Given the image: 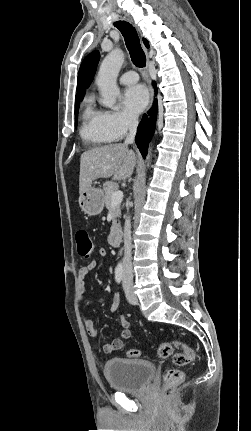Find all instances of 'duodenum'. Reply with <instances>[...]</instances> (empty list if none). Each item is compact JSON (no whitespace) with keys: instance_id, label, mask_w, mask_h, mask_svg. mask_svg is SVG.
Wrapping results in <instances>:
<instances>
[{"instance_id":"410a0bca","label":"duodenum","mask_w":251,"mask_h":431,"mask_svg":"<svg viewBox=\"0 0 251 431\" xmlns=\"http://www.w3.org/2000/svg\"><path fill=\"white\" fill-rule=\"evenodd\" d=\"M121 238H122V231H121V228H119V227H115L112 231H111V233H110V235H109V243L112 245V246H118L119 244H120V242H121Z\"/></svg>"}]
</instances>
